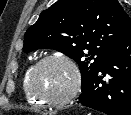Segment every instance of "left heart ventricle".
Segmentation results:
<instances>
[{
    "mask_svg": "<svg viewBox=\"0 0 131 115\" xmlns=\"http://www.w3.org/2000/svg\"><path fill=\"white\" fill-rule=\"evenodd\" d=\"M73 83L71 69L62 61H49L42 65L35 76L36 90L52 99L65 95Z\"/></svg>",
    "mask_w": 131,
    "mask_h": 115,
    "instance_id": "1",
    "label": "left heart ventricle"
}]
</instances>
